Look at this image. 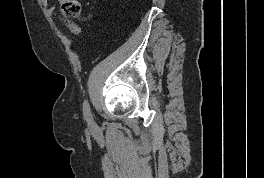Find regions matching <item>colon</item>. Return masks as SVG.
<instances>
[{"mask_svg":"<svg viewBox=\"0 0 264 178\" xmlns=\"http://www.w3.org/2000/svg\"><path fill=\"white\" fill-rule=\"evenodd\" d=\"M62 14L66 17H77L80 14L81 7L77 0H59Z\"/></svg>","mask_w":264,"mask_h":178,"instance_id":"5ec220e1","label":"colon"}]
</instances>
